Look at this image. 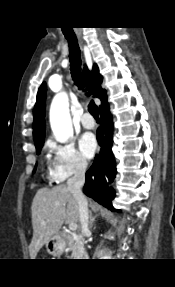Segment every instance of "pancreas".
<instances>
[{"instance_id": "1", "label": "pancreas", "mask_w": 175, "mask_h": 287, "mask_svg": "<svg viewBox=\"0 0 175 287\" xmlns=\"http://www.w3.org/2000/svg\"><path fill=\"white\" fill-rule=\"evenodd\" d=\"M69 245L71 246L72 258L78 257L80 255V250L82 247V242L76 238L75 235L70 234L68 237Z\"/></svg>"}]
</instances>
